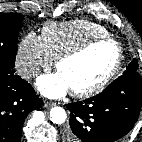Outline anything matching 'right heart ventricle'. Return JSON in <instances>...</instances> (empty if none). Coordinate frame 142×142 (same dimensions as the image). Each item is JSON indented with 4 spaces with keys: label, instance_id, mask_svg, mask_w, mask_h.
<instances>
[{
    "label": "right heart ventricle",
    "instance_id": "e07e8e85",
    "mask_svg": "<svg viewBox=\"0 0 142 142\" xmlns=\"http://www.w3.org/2000/svg\"><path fill=\"white\" fill-rule=\"evenodd\" d=\"M43 44L53 59L76 46L97 37H109L108 30L88 20L49 22L41 31Z\"/></svg>",
    "mask_w": 142,
    "mask_h": 142
}]
</instances>
